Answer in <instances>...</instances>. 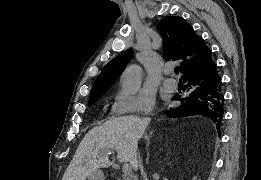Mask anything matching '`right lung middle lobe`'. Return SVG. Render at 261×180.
Wrapping results in <instances>:
<instances>
[{
    "mask_svg": "<svg viewBox=\"0 0 261 180\" xmlns=\"http://www.w3.org/2000/svg\"><path fill=\"white\" fill-rule=\"evenodd\" d=\"M101 96L93 97L89 99V105H92L94 102H96Z\"/></svg>",
    "mask_w": 261,
    "mask_h": 180,
    "instance_id": "1",
    "label": "right lung middle lobe"
}]
</instances>
